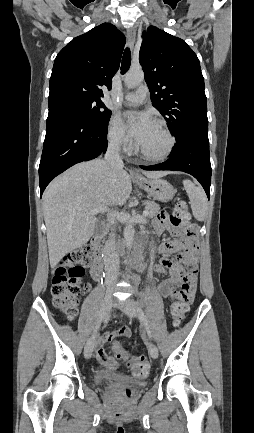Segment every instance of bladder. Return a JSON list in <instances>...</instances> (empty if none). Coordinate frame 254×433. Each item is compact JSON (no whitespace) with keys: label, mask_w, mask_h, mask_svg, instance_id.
<instances>
[{"label":"bladder","mask_w":254,"mask_h":433,"mask_svg":"<svg viewBox=\"0 0 254 433\" xmlns=\"http://www.w3.org/2000/svg\"><path fill=\"white\" fill-rule=\"evenodd\" d=\"M107 379L108 378H107V376L105 374H97L95 376V382L99 386H105L106 382H107ZM142 385H143V383L136 382V383H134L133 387H134V389H138Z\"/></svg>","instance_id":"1"}]
</instances>
